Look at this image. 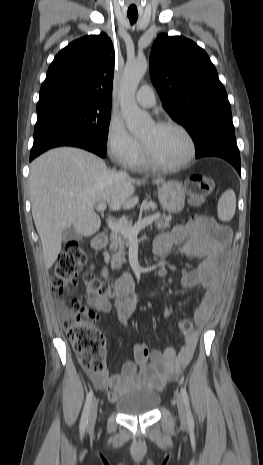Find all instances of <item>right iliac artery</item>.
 I'll list each match as a JSON object with an SVG mask.
<instances>
[{"label":"right iliac artery","instance_id":"obj_1","mask_svg":"<svg viewBox=\"0 0 263 465\" xmlns=\"http://www.w3.org/2000/svg\"><path fill=\"white\" fill-rule=\"evenodd\" d=\"M92 398H93V391H90L87 394L86 402H85L83 413L81 416V421H80V432L81 433H84L87 423H88V416H89Z\"/></svg>","mask_w":263,"mask_h":465}]
</instances>
